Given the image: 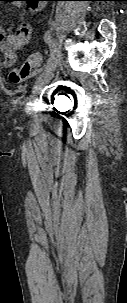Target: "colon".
<instances>
[{
	"mask_svg": "<svg viewBox=\"0 0 127 303\" xmlns=\"http://www.w3.org/2000/svg\"><path fill=\"white\" fill-rule=\"evenodd\" d=\"M41 64V55L33 53L30 57L17 69H13L9 73V80L12 83H20L26 79L34 68H38Z\"/></svg>",
	"mask_w": 127,
	"mask_h": 303,
	"instance_id": "1",
	"label": "colon"
}]
</instances>
